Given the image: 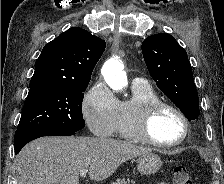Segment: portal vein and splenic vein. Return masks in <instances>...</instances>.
I'll return each instance as SVG.
<instances>
[{
	"label": "portal vein and splenic vein",
	"instance_id": "1",
	"mask_svg": "<svg viewBox=\"0 0 224 184\" xmlns=\"http://www.w3.org/2000/svg\"><path fill=\"white\" fill-rule=\"evenodd\" d=\"M87 172H88L87 169H82V170L80 171V176H82V177L85 176Z\"/></svg>",
	"mask_w": 224,
	"mask_h": 184
}]
</instances>
